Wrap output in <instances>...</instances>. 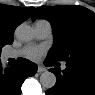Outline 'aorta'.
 Segmentation results:
<instances>
[{
    "label": "aorta",
    "mask_w": 95,
    "mask_h": 95,
    "mask_svg": "<svg viewBox=\"0 0 95 95\" xmlns=\"http://www.w3.org/2000/svg\"><path fill=\"white\" fill-rule=\"evenodd\" d=\"M15 35L19 40L30 41L34 38V30L23 23L15 29ZM40 83L46 89L53 88L56 84V76L52 72L45 71L40 75Z\"/></svg>",
    "instance_id": "762f6f07"
}]
</instances>
